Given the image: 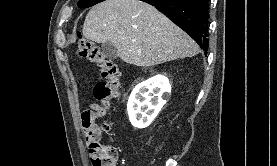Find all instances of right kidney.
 I'll return each instance as SVG.
<instances>
[{"label":"right kidney","instance_id":"right-kidney-1","mask_svg":"<svg viewBox=\"0 0 277 166\" xmlns=\"http://www.w3.org/2000/svg\"><path fill=\"white\" fill-rule=\"evenodd\" d=\"M170 92L171 85L162 75L138 84L133 89L127 104L131 124L137 128L149 126L166 104Z\"/></svg>","mask_w":277,"mask_h":166}]
</instances>
